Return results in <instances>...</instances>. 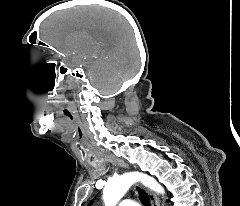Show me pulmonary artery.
<instances>
[{"label": "pulmonary artery", "instance_id": "obj_1", "mask_svg": "<svg viewBox=\"0 0 240 206\" xmlns=\"http://www.w3.org/2000/svg\"><path fill=\"white\" fill-rule=\"evenodd\" d=\"M118 206H140L136 201L131 199L122 200Z\"/></svg>", "mask_w": 240, "mask_h": 206}]
</instances>
